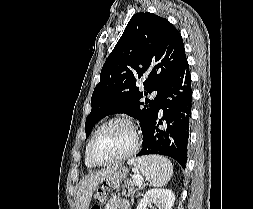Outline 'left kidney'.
Returning a JSON list of instances; mask_svg holds the SVG:
<instances>
[{
    "instance_id": "5707ae66",
    "label": "left kidney",
    "mask_w": 253,
    "mask_h": 209,
    "mask_svg": "<svg viewBox=\"0 0 253 209\" xmlns=\"http://www.w3.org/2000/svg\"><path fill=\"white\" fill-rule=\"evenodd\" d=\"M175 201V195L169 189H152L145 193L136 209L153 208L156 205L158 209H172Z\"/></svg>"
}]
</instances>
